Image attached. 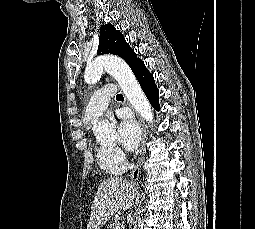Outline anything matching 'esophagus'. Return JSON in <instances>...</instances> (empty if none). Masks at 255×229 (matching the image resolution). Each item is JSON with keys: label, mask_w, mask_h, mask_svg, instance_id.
I'll return each instance as SVG.
<instances>
[{"label": "esophagus", "mask_w": 255, "mask_h": 229, "mask_svg": "<svg viewBox=\"0 0 255 229\" xmlns=\"http://www.w3.org/2000/svg\"><path fill=\"white\" fill-rule=\"evenodd\" d=\"M137 120H138L139 127L141 129V132H142V141H141L140 154H139L137 163L130 175V179L132 181H136L139 178L141 165H142L144 155L146 152V141H147V131H146L145 124H144L142 118L139 117L138 115H137Z\"/></svg>", "instance_id": "esophagus-1"}]
</instances>
